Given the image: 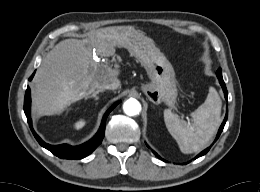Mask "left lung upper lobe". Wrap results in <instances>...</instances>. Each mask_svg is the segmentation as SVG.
Here are the masks:
<instances>
[{"instance_id":"1","label":"left lung upper lobe","mask_w":260,"mask_h":192,"mask_svg":"<svg viewBox=\"0 0 260 192\" xmlns=\"http://www.w3.org/2000/svg\"><path fill=\"white\" fill-rule=\"evenodd\" d=\"M217 77H222V72H221V68H219L216 72Z\"/></svg>"}]
</instances>
